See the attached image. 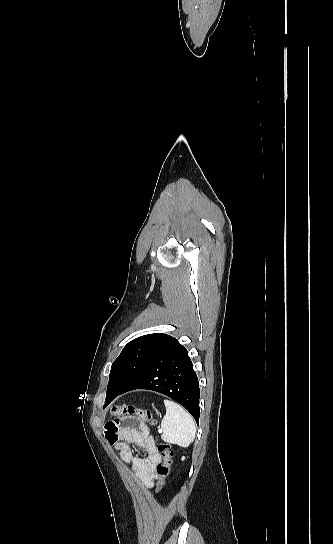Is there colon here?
Returning <instances> with one entry per match:
<instances>
[{"mask_svg": "<svg viewBox=\"0 0 333 544\" xmlns=\"http://www.w3.org/2000/svg\"><path fill=\"white\" fill-rule=\"evenodd\" d=\"M111 413L115 416H135L142 422L148 423L151 426H155L157 424V419L150 410L133 405H115L112 407ZM157 449L162 456V462L158 464L155 469L157 478L156 491L158 492L165 486L166 479L170 473L173 451L171 446L165 442H159Z\"/></svg>", "mask_w": 333, "mask_h": 544, "instance_id": "5ec220e1", "label": "colon"}]
</instances>
